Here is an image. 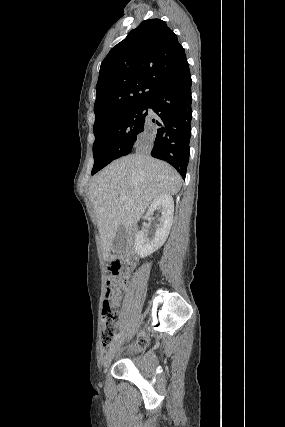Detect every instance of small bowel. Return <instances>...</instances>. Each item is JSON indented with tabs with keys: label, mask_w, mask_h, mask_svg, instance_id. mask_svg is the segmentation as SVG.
<instances>
[{
	"label": "small bowel",
	"mask_w": 285,
	"mask_h": 427,
	"mask_svg": "<svg viewBox=\"0 0 285 427\" xmlns=\"http://www.w3.org/2000/svg\"><path fill=\"white\" fill-rule=\"evenodd\" d=\"M142 346H145L149 343V338L148 337H143L140 341Z\"/></svg>",
	"instance_id": "1"
}]
</instances>
